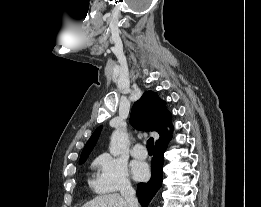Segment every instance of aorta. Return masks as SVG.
<instances>
[{
	"mask_svg": "<svg viewBox=\"0 0 261 207\" xmlns=\"http://www.w3.org/2000/svg\"><path fill=\"white\" fill-rule=\"evenodd\" d=\"M129 142L127 133L122 130H115L112 133L109 151L113 156L121 154L122 150L126 147Z\"/></svg>",
	"mask_w": 261,
	"mask_h": 207,
	"instance_id": "aorta-1",
	"label": "aorta"
}]
</instances>
